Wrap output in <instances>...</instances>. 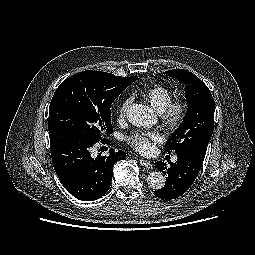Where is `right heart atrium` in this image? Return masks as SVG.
Masks as SVG:
<instances>
[{"instance_id": "d8ad5b80", "label": "right heart atrium", "mask_w": 255, "mask_h": 255, "mask_svg": "<svg viewBox=\"0 0 255 255\" xmlns=\"http://www.w3.org/2000/svg\"><path fill=\"white\" fill-rule=\"evenodd\" d=\"M130 104H131V98H126L124 99L120 105L118 106V110H117V113H118V117L120 119H123L125 118L127 112H128V109L130 107Z\"/></svg>"}]
</instances>
